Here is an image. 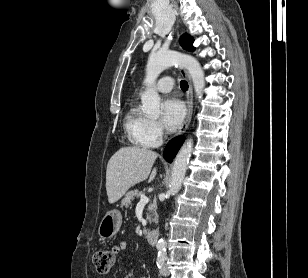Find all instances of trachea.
Here are the masks:
<instances>
[{"label":"trachea","instance_id":"obj_1","mask_svg":"<svg viewBox=\"0 0 308 278\" xmlns=\"http://www.w3.org/2000/svg\"><path fill=\"white\" fill-rule=\"evenodd\" d=\"M180 87H181L182 90L186 91V90H188V83L186 81L182 80L180 82Z\"/></svg>","mask_w":308,"mask_h":278}]
</instances>
